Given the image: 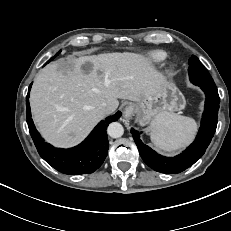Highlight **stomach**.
<instances>
[{"label":"stomach","instance_id":"stomach-1","mask_svg":"<svg viewBox=\"0 0 231 231\" xmlns=\"http://www.w3.org/2000/svg\"><path fill=\"white\" fill-rule=\"evenodd\" d=\"M184 106L182 93L171 82H165L159 92L135 105L140 124H146L162 113L179 111Z\"/></svg>","mask_w":231,"mask_h":231}]
</instances>
